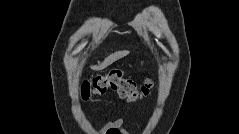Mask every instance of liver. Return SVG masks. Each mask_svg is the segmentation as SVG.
Here are the masks:
<instances>
[{
	"label": "liver",
	"instance_id": "liver-1",
	"mask_svg": "<svg viewBox=\"0 0 239 134\" xmlns=\"http://www.w3.org/2000/svg\"><path fill=\"white\" fill-rule=\"evenodd\" d=\"M128 53H129L128 51L115 52V53L109 55L108 57H106L105 60L102 63H100L96 66H91V68L93 70H102V69L106 68L107 66L111 65L113 62L123 58Z\"/></svg>",
	"mask_w": 239,
	"mask_h": 134
}]
</instances>
